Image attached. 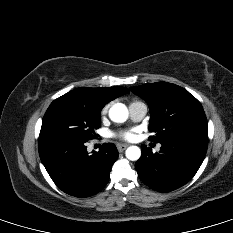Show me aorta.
I'll return each instance as SVG.
<instances>
[{"mask_svg":"<svg viewBox=\"0 0 233 233\" xmlns=\"http://www.w3.org/2000/svg\"><path fill=\"white\" fill-rule=\"evenodd\" d=\"M128 109L122 103L114 104L109 110V117L113 122L123 123L128 119ZM126 157L131 161H136L141 156V150L137 146H130L127 148Z\"/></svg>","mask_w":233,"mask_h":233,"instance_id":"1","label":"aorta"}]
</instances>
